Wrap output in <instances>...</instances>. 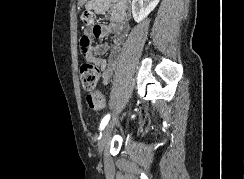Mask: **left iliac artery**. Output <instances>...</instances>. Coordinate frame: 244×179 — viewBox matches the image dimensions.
<instances>
[{
	"instance_id": "obj_1",
	"label": "left iliac artery",
	"mask_w": 244,
	"mask_h": 179,
	"mask_svg": "<svg viewBox=\"0 0 244 179\" xmlns=\"http://www.w3.org/2000/svg\"><path fill=\"white\" fill-rule=\"evenodd\" d=\"M109 119H110V114L106 115V116L102 119V121H101V123H100V130H101V131H102V130L105 128V126L108 124Z\"/></svg>"
}]
</instances>
